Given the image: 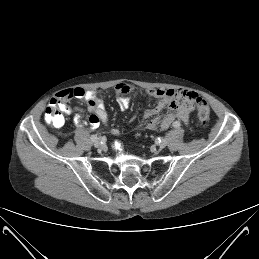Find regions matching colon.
I'll list each match as a JSON object with an SVG mask.
<instances>
[{
	"instance_id": "obj_1",
	"label": "colon",
	"mask_w": 259,
	"mask_h": 259,
	"mask_svg": "<svg viewBox=\"0 0 259 259\" xmlns=\"http://www.w3.org/2000/svg\"><path fill=\"white\" fill-rule=\"evenodd\" d=\"M195 103L198 107V119L202 125H206L209 121L210 109L204 99L197 97ZM45 121L54 126L63 124V115L60 109V101H50L44 114Z\"/></svg>"
}]
</instances>
